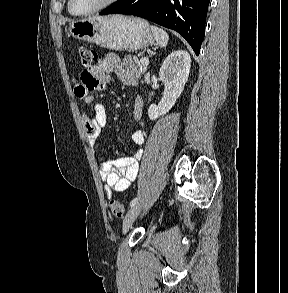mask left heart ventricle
I'll return each instance as SVG.
<instances>
[{
  "label": "left heart ventricle",
  "mask_w": 288,
  "mask_h": 293,
  "mask_svg": "<svg viewBox=\"0 0 288 293\" xmlns=\"http://www.w3.org/2000/svg\"><path fill=\"white\" fill-rule=\"evenodd\" d=\"M104 0H72V8L76 12H83L96 7Z\"/></svg>",
  "instance_id": "1"
}]
</instances>
